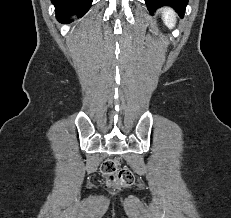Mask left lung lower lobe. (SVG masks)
I'll use <instances>...</instances> for the list:
<instances>
[{
	"mask_svg": "<svg viewBox=\"0 0 231 218\" xmlns=\"http://www.w3.org/2000/svg\"><path fill=\"white\" fill-rule=\"evenodd\" d=\"M145 2L151 13L161 6L169 5L173 7L180 16H183L188 0H145Z\"/></svg>",
	"mask_w": 231,
	"mask_h": 218,
	"instance_id": "1",
	"label": "left lung lower lobe"
}]
</instances>
